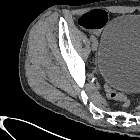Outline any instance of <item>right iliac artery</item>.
Masks as SVG:
<instances>
[{"label": "right iliac artery", "mask_w": 140, "mask_h": 140, "mask_svg": "<svg viewBox=\"0 0 140 140\" xmlns=\"http://www.w3.org/2000/svg\"><path fill=\"white\" fill-rule=\"evenodd\" d=\"M95 39V37L94 36H91V40L93 41Z\"/></svg>", "instance_id": "obj_1"}]
</instances>
